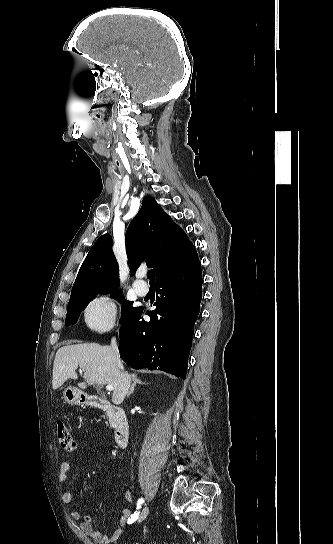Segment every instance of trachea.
<instances>
[{"label":"trachea","instance_id":"obj_1","mask_svg":"<svg viewBox=\"0 0 333 544\" xmlns=\"http://www.w3.org/2000/svg\"><path fill=\"white\" fill-rule=\"evenodd\" d=\"M147 278L149 279L150 282H155V275H154L153 270L148 271Z\"/></svg>","mask_w":333,"mask_h":544}]
</instances>
